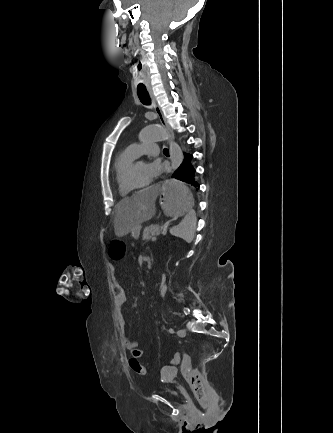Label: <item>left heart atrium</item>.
Segmentation results:
<instances>
[{
  "instance_id": "obj_1",
  "label": "left heart atrium",
  "mask_w": 333,
  "mask_h": 433,
  "mask_svg": "<svg viewBox=\"0 0 333 433\" xmlns=\"http://www.w3.org/2000/svg\"><path fill=\"white\" fill-rule=\"evenodd\" d=\"M162 171V166L159 161L154 160L148 164V181L157 177Z\"/></svg>"
}]
</instances>
